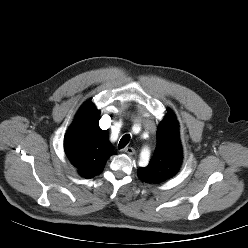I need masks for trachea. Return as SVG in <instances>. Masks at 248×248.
<instances>
[{
  "instance_id": "1",
  "label": "trachea",
  "mask_w": 248,
  "mask_h": 248,
  "mask_svg": "<svg viewBox=\"0 0 248 248\" xmlns=\"http://www.w3.org/2000/svg\"><path fill=\"white\" fill-rule=\"evenodd\" d=\"M130 138H131V137H130V134H125V135L121 138V140H120V142H119V145H118L119 149L124 148V147L129 143Z\"/></svg>"
}]
</instances>
